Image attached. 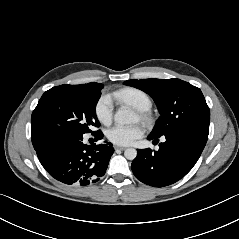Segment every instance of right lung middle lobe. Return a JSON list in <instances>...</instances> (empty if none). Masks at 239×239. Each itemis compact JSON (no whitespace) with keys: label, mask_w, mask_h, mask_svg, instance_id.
<instances>
[{"label":"right lung middle lobe","mask_w":239,"mask_h":239,"mask_svg":"<svg viewBox=\"0 0 239 239\" xmlns=\"http://www.w3.org/2000/svg\"><path fill=\"white\" fill-rule=\"evenodd\" d=\"M103 86L61 85L46 91L31 116V139L36 149L43 140L64 132L95 133V108Z\"/></svg>","instance_id":"dd1d6c3e"}]
</instances>
